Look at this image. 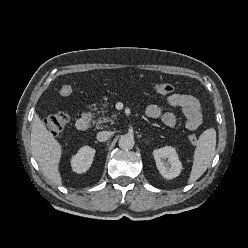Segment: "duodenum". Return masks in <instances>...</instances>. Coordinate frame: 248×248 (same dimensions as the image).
Wrapping results in <instances>:
<instances>
[{"label": "duodenum", "instance_id": "duodenum-1", "mask_svg": "<svg viewBox=\"0 0 248 248\" xmlns=\"http://www.w3.org/2000/svg\"><path fill=\"white\" fill-rule=\"evenodd\" d=\"M92 122V118L90 115L88 114H84L83 116H81L76 123L77 129L79 131H86Z\"/></svg>", "mask_w": 248, "mask_h": 248}]
</instances>
